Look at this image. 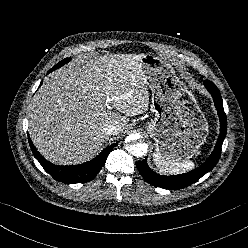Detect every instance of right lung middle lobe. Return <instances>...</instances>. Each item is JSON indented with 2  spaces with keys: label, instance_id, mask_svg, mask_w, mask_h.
I'll list each match as a JSON object with an SVG mask.
<instances>
[{
  "label": "right lung middle lobe",
  "instance_id": "obj_1",
  "mask_svg": "<svg viewBox=\"0 0 248 248\" xmlns=\"http://www.w3.org/2000/svg\"><path fill=\"white\" fill-rule=\"evenodd\" d=\"M69 61H70V59L66 58L63 61L59 62L57 65H55L53 68L57 69V68L61 67L62 65H64L65 63L69 62Z\"/></svg>",
  "mask_w": 248,
  "mask_h": 248
}]
</instances>
